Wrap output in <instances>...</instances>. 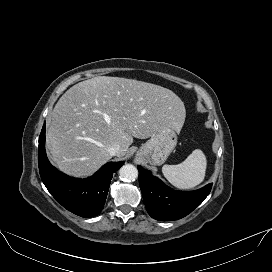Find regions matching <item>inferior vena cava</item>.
Segmentation results:
<instances>
[{"instance_id":"602c4592","label":"inferior vena cava","mask_w":272,"mask_h":272,"mask_svg":"<svg viewBox=\"0 0 272 272\" xmlns=\"http://www.w3.org/2000/svg\"><path fill=\"white\" fill-rule=\"evenodd\" d=\"M120 151V145L114 144L108 148V152L111 156H115Z\"/></svg>"}]
</instances>
